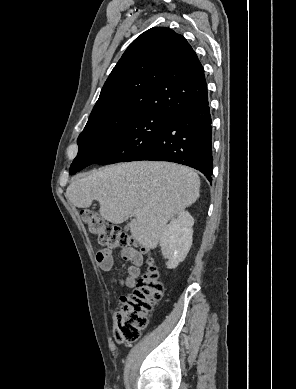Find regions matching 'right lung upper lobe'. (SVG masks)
I'll use <instances>...</instances> for the list:
<instances>
[{"label": "right lung upper lobe", "instance_id": "cb5924a9", "mask_svg": "<svg viewBox=\"0 0 296 389\" xmlns=\"http://www.w3.org/2000/svg\"><path fill=\"white\" fill-rule=\"evenodd\" d=\"M207 100L204 69L195 51L173 30L154 27L126 49L89 119L119 110L171 117Z\"/></svg>", "mask_w": 296, "mask_h": 389}]
</instances>
